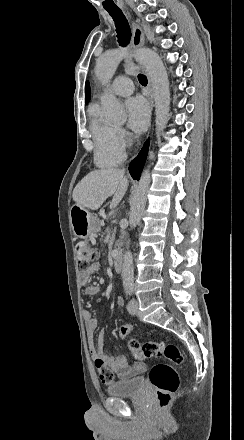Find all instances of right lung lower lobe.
<instances>
[{
	"instance_id": "98d812e1",
	"label": "right lung lower lobe",
	"mask_w": 244,
	"mask_h": 440,
	"mask_svg": "<svg viewBox=\"0 0 244 440\" xmlns=\"http://www.w3.org/2000/svg\"><path fill=\"white\" fill-rule=\"evenodd\" d=\"M148 148H149V143L146 142L142 147L138 156L129 165V172L134 180L140 179V175L147 158Z\"/></svg>"
}]
</instances>
